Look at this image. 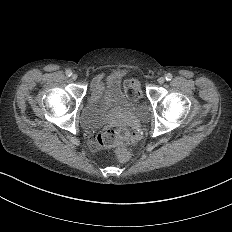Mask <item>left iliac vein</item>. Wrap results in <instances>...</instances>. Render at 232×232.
Masks as SVG:
<instances>
[{"label": "left iliac vein", "instance_id": "left-iliac-vein-1", "mask_svg": "<svg viewBox=\"0 0 232 232\" xmlns=\"http://www.w3.org/2000/svg\"><path fill=\"white\" fill-rule=\"evenodd\" d=\"M158 83L159 84H164L165 83V78L164 77H159L158 78Z\"/></svg>", "mask_w": 232, "mask_h": 232}]
</instances>
